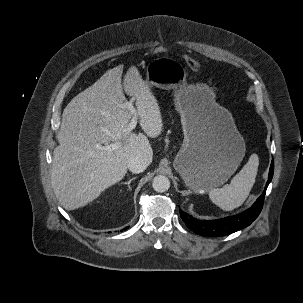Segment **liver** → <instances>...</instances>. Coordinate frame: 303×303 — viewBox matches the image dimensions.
<instances>
[{
    "label": "liver",
    "mask_w": 303,
    "mask_h": 303,
    "mask_svg": "<svg viewBox=\"0 0 303 303\" xmlns=\"http://www.w3.org/2000/svg\"><path fill=\"white\" fill-rule=\"evenodd\" d=\"M123 65L108 70L93 85L79 93L66 106L57 133L51 184L66 210L87 205L110 186L122 180L131 157L142 156L152 162L153 150L147 136L158 137L163 129L159 104L131 66L122 83ZM123 91L133 97L143 133L125 134L131 119ZM118 144L113 151L97 144Z\"/></svg>",
    "instance_id": "obj_1"
}]
</instances>
